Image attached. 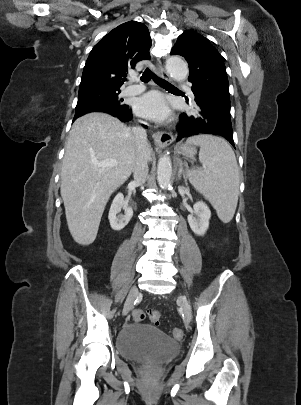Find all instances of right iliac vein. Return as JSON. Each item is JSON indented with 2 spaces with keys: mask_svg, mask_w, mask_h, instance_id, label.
I'll list each match as a JSON object with an SVG mask.
<instances>
[{
  "mask_svg": "<svg viewBox=\"0 0 301 405\" xmlns=\"http://www.w3.org/2000/svg\"><path fill=\"white\" fill-rule=\"evenodd\" d=\"M138 293H139V291L136 286H133L130 289L129 295L127 297V300H126L124 308H123V315H127L128 312L131 310L133 302H134L135 298L137 297Z\"/></svg>",
  "mask_w": 301,
  "mask_h": 405,
  "instance_id": "1",
  "label": "right iliac vein"
}]
</instances>
